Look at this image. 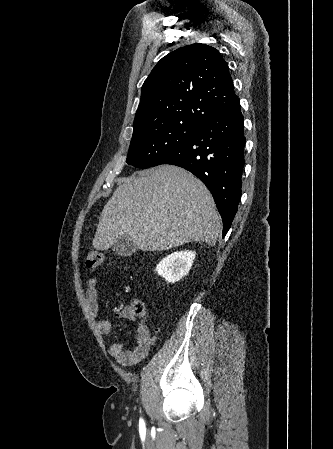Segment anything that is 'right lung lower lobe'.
Here are the masks:
<instances>
[{
  "label": "right lung lower lobe",
  "mask_w": 333,
  "mask_h": 449,
  "mask_svg": "<svg viewBox=\"0 0 333 449\" xmlns=\"http://www.w3.org/2000/svg\"><path fill=\"white\" fill-rule=\"evenodd\" d=\"M244 120L240 103L205 122L157 165L182 167L212 193L223 221V237L237 212L244 168Z\"/></svg>",
  "instance_id": "right-lung-lower-lobe-1"
}]
</instances>
